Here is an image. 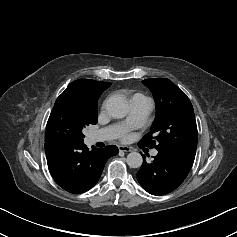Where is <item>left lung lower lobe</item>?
Masks as SVG:
<instances>
[{"mask_svg":"<svg viewBox=\"0 0 237 237\" xmlns=\"http://www.w3.org/2000/svg\"><path fill=\"white\" fill-rule=\"evenodd\" d=\"M137 172V180L150 194L163 195L175 190L187 177L194 162L193 156L158 152L151 163L145 155Z\"/></svg>","mask_w":237,"mask_h":237,"instance_id":"left-lung-lower-lobe-1","label":"left lung lower lobe"}]
</instances>
